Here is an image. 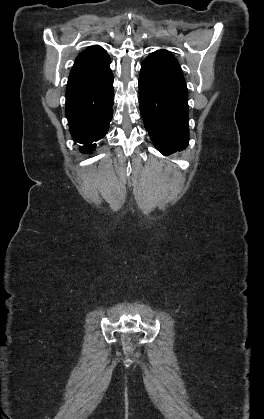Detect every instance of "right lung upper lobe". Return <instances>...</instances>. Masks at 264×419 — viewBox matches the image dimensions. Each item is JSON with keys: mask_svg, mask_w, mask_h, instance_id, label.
I'll return each mask as SVG.
<instances>
[{"mask_svg": "<svg viewBox=\"0 0 264 419\" xmlns=\"http://www.w3.org/2000/svg\"><path fill=\"white\" fill-rule=\"evenodd\" d=\"M109 64V55L102 47H89L77 56L67 87L90 85L100 81L111 72Z\"/></svg>", "mask_w": 264, "mask_h": 419, "instance_id": "1", "label": "right lung upper lobe"}]
</instances>
